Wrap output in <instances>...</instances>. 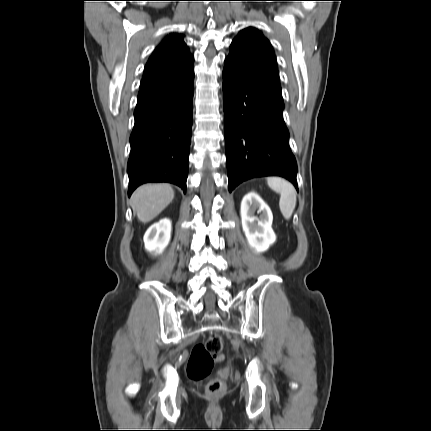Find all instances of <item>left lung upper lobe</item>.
Masks as SVG:
<instances>
[{
	"mask_svg": "<svg viewBox=\"0 0 431 431\" xmlns=\"http://www.w3.org/2000/svg\"><path fill=\"white\" fill-rule=\"evenodd\" d=\"M224 68L281 92L276 57L270 42L255 28L241 31L232 41Z\"/></svg>",
	"mask_w": 431,
	"mask_h": 431,
	"instance_id": "left-lung-upper-lobe-1",
	"label": "left lung upper lobe"
}]
</instances>
